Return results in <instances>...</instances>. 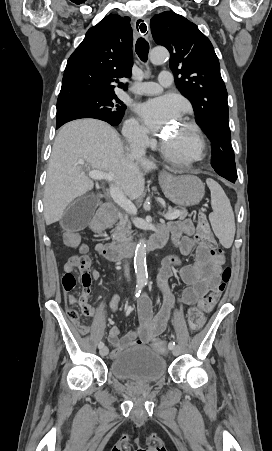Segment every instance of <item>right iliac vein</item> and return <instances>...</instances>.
<instances>
[{"mask_svg":"<svg viewBox=\"0 0 272 451\" xmlns=\"http://www.w3.org/2000/svg\"><path fill=\"white\" fill-rule=\"evenodd\" d=\"M99 353L101 356H106L108 354V347L103 346L102 348H100Z\"/></svg>","mask_w":272,"mask_h":451,"instance_id":"63e3f726","label":"right iliac vein"}]
</instances>
